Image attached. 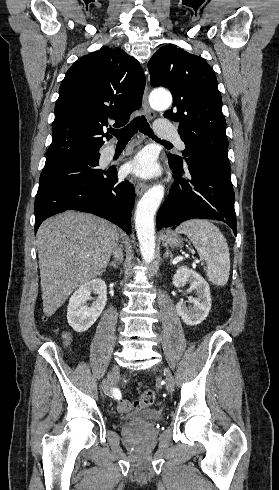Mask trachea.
Here are the masks:
<instances>
[{
    "label": "trachea",
    "mask_w": 279,
    "mask_h": 490,
    "mask_svg": "<svg viewBox=\"0 0 279 490\" xmlns=\"http://www.w3.org/2000/svg\"><path fill=\"white\" fill-rule=\"evenodd\" d=\"M138 130L141 133H144V135H148L149 137H152L158 142L167 143V144L170 143V142H165V140H159L154 136V133L150 128L149 123L147 122L145 116H139L135 118L126 127L121 128L120 130L111 129L109 130V133L117 137L118 141L120 142V141L130 140V138H132L133 135L138 132Z\"/></svg>",
    "instance_id": "obj_1"
}]
</instances>
